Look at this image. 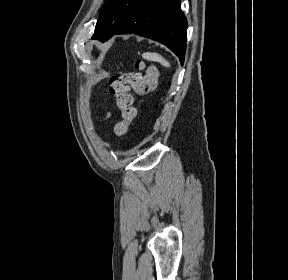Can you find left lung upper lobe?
<instances>
[{
	"label": "left lung upper lobe",
	"instance_id": "1",
	"mask_svg": "<svg viewBox=\"0 0 288 280\" xmlns=\"http://www.w3.org/2000/svg\"><path fill=\"white\" fill-rule=\"evenodd\" d=\"M141 1L142 0H107L97 20L95 33L92 38L102 42L109 40L125 17Z\"/></svg>",
	"mask_w": 288,
	"mask_h": 280
}]
</instances>
